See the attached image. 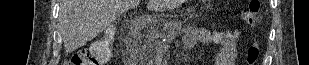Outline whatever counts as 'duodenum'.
I'll return each instance as SVG.
<instances>
[{
    "instance_id": "1",
    "label": "duodenum",
    "mask_w": 309,
    "mask_h": 65,
    "mask_svg": "<svg viewBox=\"0 0 309 65\" xmlns=\"http://www.w3.org/2000/svg\"><path fill=\"white\" fill-rule=\"evenodd\" d=\"M152 22L151 18L149 16H142L134 19L130 26L128 34L129 36H134L138 32H140L144 27H146L148 24Z\"/></svg>"
}]
</instances>
